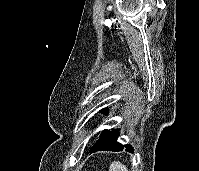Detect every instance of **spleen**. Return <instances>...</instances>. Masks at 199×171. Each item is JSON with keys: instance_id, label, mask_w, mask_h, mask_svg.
Instances as JSON below:
<instances>
[{"instance_id": "spleen-1", "label": "spleen", "mask_w": 199, "mask_h": 171, "mask_svg": "<svg viewBox=\"0 0 199 171\" xmlns=\"http://www.w3.org/2000/svg\"><path fill=\"white\" fill-rule=\"evenodd\" d=\"M109 171H128L126 166L123 165L121 162H112Z\"/></svg>"}]
</instances>
